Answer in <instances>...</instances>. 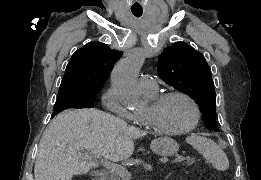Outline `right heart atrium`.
I'll return each instance as SVG.
<instances>
[{
    "label": "right heart atrium",
    "mask_w": 261,
    "mask_h": 180,
    "mask_svg": "<svg viewBox=\"0 0 261 180\" xmlns=\"http://www.w3.org/2000/svg\"><path fill=\"white\" fill-rule=\"evenodd\" d=\"M102 106L104 108H110V112H116L118 117H125V120L132 121L131 114L123 107L119 106L118 99L113 91V88L110 87L102 96ZM129 127V125H127Z\"/></svg>",
    "instance_id": "right-heart-atrium-1"
}]
</instances>
